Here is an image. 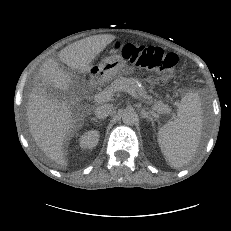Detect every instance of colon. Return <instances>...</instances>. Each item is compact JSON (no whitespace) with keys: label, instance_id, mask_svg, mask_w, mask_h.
Returning a JSON list of instances; mask_svg holds the SVG:
<instances>
[{"label":"colon","instance_id":"obj_1","mask_svg":"<svg viewBox=\"0 0 231 231\" xmlns=\"http://www.w3.org/2000/svg\"><path fill=\"white\" fill-rule=\"evenodd\" d=\"M115 47L126 60L136 66L160 71L168 76L172 75L178 62L174 53H166L158 47L131 43H116Z\"/></svg>","mask_w":231,"mask_h":231}]
</instances>
